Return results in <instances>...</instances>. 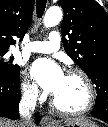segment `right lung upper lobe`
<instances>
[{"mask_svg": "<svg viewBox=\"0 0 108 127\" xmlns=\"http://www.w3.org/2000/svg\"><path fill=\"white\" fill-rule=\"evenodd\" d=\"M34 9V0H0V50L15 43L13 36L23 39Z\"/></svg>", "mask_w": 108, "mask_h": 127, "instance_id": "right-lung-upper-lobe-1", "label": "right lung upper lobe"}]
</instances>
